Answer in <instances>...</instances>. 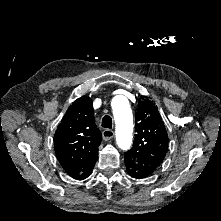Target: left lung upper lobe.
Returning <instances> with one entry per match:
<instances>
[{
	"label": "left lung upper lobe",
	"instance_id": "5c2ea615",
	"mask_svg": "<svg viewBox=\"0 0 221 221\" xmlns=\"http://www.w3.org/2000/svg\"><path fill=\"white\" fill-rule=\"evenodd\" d=\"M135 122L134 144L125 155L153 173L166 156L168 135L157 106L147 96L139 99Z\"/></svg>",
	"mask_w": 221,
	"mask_h": 221
}]
</instances>
